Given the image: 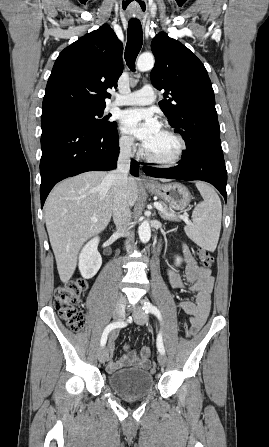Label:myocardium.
<instances>
[{"label":"myocardium","mask_w":269,"mask_h":447,"mask_svg":"<svg viewBox=\"0 0 269 447\" xmlns=\"http://www.w3.org/2000/svg\"><path fill=\"white\" fill-rule=\"evenodd\" d=\"M164 129H166L168 132H170L173 136H175L179 142V148L177 150V152L175 153V155L173 156V158H171L170 160H158L153 158L146 150L145 144L143 145V154L145 159L152 164L158 165V166H162V167H174L177 166L185 152L187 149V141L185 139V137L179 132L177 131L175 128H173L170 125H165L163 127Z\"/></svg>","instance_id":"1"}]
</instances>
